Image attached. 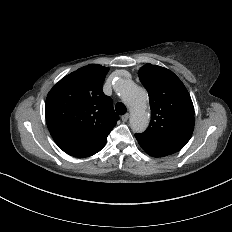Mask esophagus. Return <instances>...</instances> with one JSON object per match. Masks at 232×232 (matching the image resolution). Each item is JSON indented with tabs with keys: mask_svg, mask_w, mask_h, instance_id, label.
I'll use <instances>...</instances> for the list:
<instances>
[{
	"mask_svg": "<svg viewBox=\"0 0 232 232\" xmlns=\"http://www.w3.org/2000/svg\"><path fill=\"white\" fill-rule=\"evenodd\" d=\"M128 118H129V114H128V113L124 114V115L121 117V119H122L123 122H127V121H128Z\"/></svg>",
	"mask_w": 232,
	"mask_h": 232,
	"instance_id": "34e87169",
	"label": "esophagus"
}]
</instances>
